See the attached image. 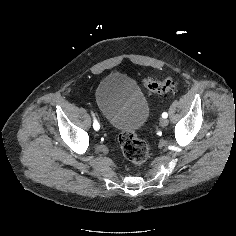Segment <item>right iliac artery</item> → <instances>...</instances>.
Here are the masks:
<instances>
[{"label":"right iliac artery","instance_id":"right-iliac-artery-1","mask_svg":"<svg viewBox=\"0 0 236 236\" xmlns=\"http://www.w3.org/2000/svg\"><path fill=\"white\" fill-rule=\"evenodd\" d=\"M93 128L96 130V131H98V130H100V125H99V123H98V121L94 118V123H93Z\"/></svg>","mask_w":236,"mask_h":236}]
</instances>
